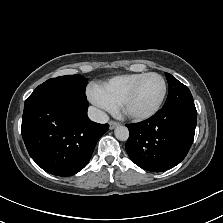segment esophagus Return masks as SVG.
Returning <instances> with one entry per match:
<instances>
[{
    "instance_id": "obj_1",
    "label": "esophagus",
    "mask_w": 223,
    "mask_h": 223,
    "mask_svg": "<svg viewBox=\"0 0 223 223\" xmlns=\"http://www.w3.org/2000/svg\"><path fill=\"white\" fill-rule=\"evenodd\" d=\"M118 125H119L118 122L110 121V122H109V129L112 130V129H114L115 127H117Z\"/></svg>"
}]
</instances>
